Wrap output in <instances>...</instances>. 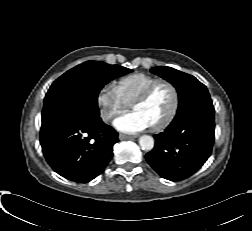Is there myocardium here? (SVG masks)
I'll use <instances>...</instances> for the list:
<instances>
[{
    "label": "myocardium",
    "mask_w": 252,
    "mask_h": 231,
    "mask_svg": "<svg viewBox=\"0 0 252 231\" xmlns=\"http://www.w3.org/2000/svg\"><path fill=\"white\" fill-rule=\"evenodd\" d=\"M162 83L167 84L171 88L173 95V102L168 114L159 123L151 126V129L153 131H160L165 127H167L173 121L178 112L180 104V94L176 84L169 79L165 78L157 79L156 81L151 83L147 88H145V90L131 103V107L133 109L135 105L145 102L150 97L153 90L159 84Z\"/></svg>",
    "instance_id": "obj_1"
}]
</instances>
